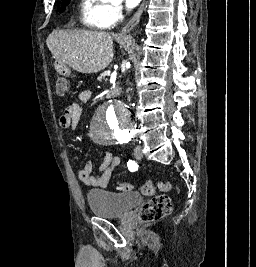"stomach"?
Returning <instances> with one entry per match:
<instances>
[{"label":"stomach","instance_id":"1","mask_svg":"<svg viewBox=\"0 0 256 267\" xmlns=\"http://www.w3.org/2000/svg\"><path fill=\"white\" fill-rule=\"evenodd\" d=\"M58 67H65V62H58Z\"/></svg>","mask_w":256,"mask_h":267}]
</instances>
